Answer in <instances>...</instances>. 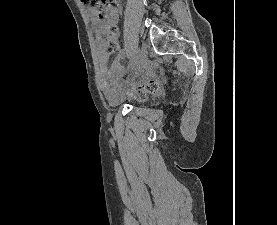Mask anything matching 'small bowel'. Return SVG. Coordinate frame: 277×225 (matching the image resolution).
I'll list each match as a JSON object with an SVG mask.
<instances>
[{"label":"small bowel","instance_id":"obj_1","mask_svg":"<svg viewBox=\"0 0 277 225\" xmlns=\"http://www.w3.org/2000/svg\"><path fill=\"white\" fill-rule=\"evenodd\" d=\"M89 16L93 18V23L98 34L97 39V51H98V78L101 89L105 95L118 93L122 90L123 86L131 85L132 81L128 78V72L121 65L120 61L127 56L125 50L119 51L115 61L108 67V53L104 50L101 40V33L107 27H114L118 22V11L114 8H109L108 15L103 18L94 17L92 12ZM112 35L117 38V32H113ZM128 71L131 73L132 78L141 77L145 81H155L153 78V71L147 69L145 65L138 66L131 64L128 67Z\"/></svg>","mask_w":277,"mask_h":225}]
</instances>
